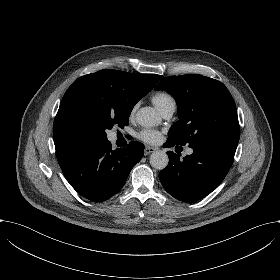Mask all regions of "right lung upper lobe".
<instances>
[{"label": "right lung upper lobe", "mask_w": 280, "mask_h": 280, "mask_svg": "<svg viewBox=\"0 0 280 280\" xmlns=\"http://www.w3.org/2000/svg\"><path fill=\"white\" fill-rule=\"evenodd\" d=\"M162 78L161 75L117 70H101L78 78L66 91L54 120L53 138L57 159L95 142L85 124L88 111L105 103L133 109Z\"/></svg>", "instance_id": "right-lung-upper-lobe-1"}]
</instances>
